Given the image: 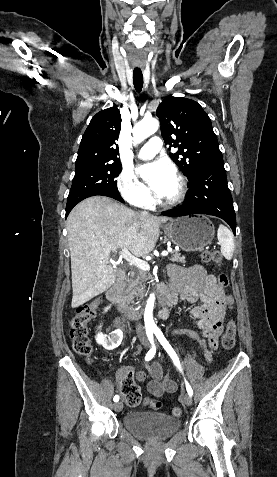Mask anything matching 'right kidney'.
Returning <instances> with one entry per match:
<instances>
[{
    "label": "right kidney",
    "instance_id": "right-kidney-1",
    "mask_svg": "<svg viewBox=\"0 0 277 477\" xmlns=\"http://www.w3.org/2000/svg\"><path fill=\"white\" fill-rule=\"evenodd\" d=\"M109 309L110 307H107L105 308V311H108ZM95 339L96 342L99 345H102L106 350H113L121 344L123 332L121 329H116L108 336V338L100 332L96 335Z\"/></svg>",
    "mask_w": 277,
    "mask_h": 477
}]
</instances>
